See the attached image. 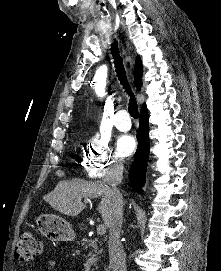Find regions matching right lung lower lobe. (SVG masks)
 Returning a JSON list of instances; mask_svg holds the SVG:
<instances>
[{
    "mask_svg": "<svg viewBox=\"0 0 221 271\" xmlns=\"http://www.w3.org/2000/svg\"><path fill=\"white\" fill-rule=\"evenodd\" d=\"M138 148L134 156V162L130 169V182L132 188L143 193L142 187L145 183L147 162L149 157V123L146 106L140 110V124L137 134Z\"/></svg>",
    "mask_w": 221,
    "mask_h": 271,
    "instance_id": "obj_1",
    "label": "right lung lower lobe"
}]
</instances>
